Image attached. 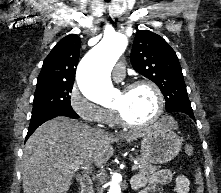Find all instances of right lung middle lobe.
<instances>
[{
    "instance_id": "obj_1",
    "label": "right lung middle lobe",
    "mask_w": 221,
    "mask_h": 193,
    "mask_svg": "<svg viewBox=\"0 0 221 193\" xmlns=\"http://www.w3.org/2000/svg\"><path fill=\"white\" fill-rule=\"evenodd\" d=\"M73 84L37 85L34 94L32 116L49 110H73L69 93Z\"/></svg>"
}]
</instances>
